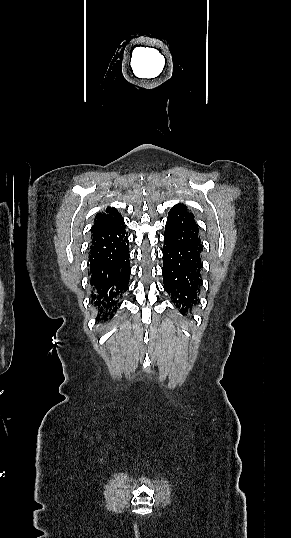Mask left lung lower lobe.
I'll list each match as a JSON object with an SVG mask.
<instances>
[{"label":"left lung lower lobe","mask_w":291,"mask_h":538,"mask_svg":"<svg viewBox=\"0 0 291 538\" xmlns=\"http://www.w3.org/2000/svg\"><path fill=\"white\" fill-rule=\"evenodd\" d=\"M198 234L193 215L175 208L169 211L162 250L164 289L184 315L199 303L203 245Z\"/></svg>","instance_id":"1"}]
</instances>
